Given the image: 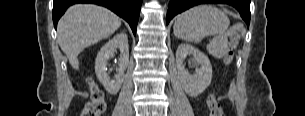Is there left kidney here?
Segmentation results:
<instances>
[{"label": "left kidney", "mask_w": 305, "mask_h": 116, "mask_svg": "<svg viewBox=\"0 0 305 116\" xmlns=\"http://www.w3.org/2000/svg\"><path fill=\"white\" fill-rule=\"evenodd\" d=\"M187 55H193L195 63L200 67L191 75L185 68ZM176 66L178 77L184 91L191 97L200 95L211 83L212 66L209 58L200 50L188 44H181L176 51Z\"/></svg>", "instance_id": "5707ae66"}]
</instances>
